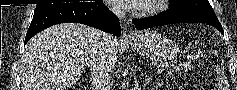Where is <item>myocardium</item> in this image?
<instances>
[{"label": "myocardium", "mask_w": 237, "mask_h": 90, "mask_svg": "<svg viewBox=\"0 0 237 90\" xmlns=\"http://www.w3.org/2000/svg\"><path fill=\"white\" fill-rule=\"evenodd\" d=\"M158 3H165V0H158ZM160 10L161 7L155 3H147L143 6L131 8V11L141 19H145L149 14L157 13Z\"/></svg>", "instance_id": "obj_1"}]
</instances>
